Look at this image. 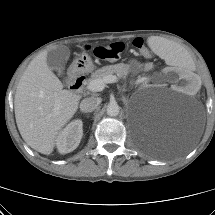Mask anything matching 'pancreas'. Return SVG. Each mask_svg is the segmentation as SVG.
Returning a JSON list of instances; mask_svg holds the SVG:
<instances>
[{"label": "pancreas", "mask_w": 215, "mask_h": 215, "mask_svg": "<svg viewBox=\"0 0 215 215\" xmlns=\"http://www.w3.org/2000/svg\"><path fill=\"white\" fill-rule=\"evenodd\" d=\"M129 72V66L123 63L104 66L91 74V78L88 82L95 79H102L107 75L116 74L119 78H126Z\"/></svg>", "instance_id": "obj_1"}]
</instances>
